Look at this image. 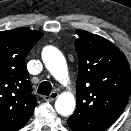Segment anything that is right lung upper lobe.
<instances>
[{
  "label": "right lung upper lobe",
  "instance_id": "obj_1",
  "mask_svg": "<svg viewBox=\"0 0 131 131\" xmlns=\"http://www.w3.org/2000/svg\"><path fill=\"white\" fill-rule=\"evenodd\" d=\"M41 32L17 28L0 32V131H17L37 104L25 58Z\"/></svg>",
  "mask_w": 131,
  "mask_h": 131
}]
</instances>
